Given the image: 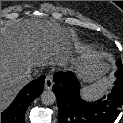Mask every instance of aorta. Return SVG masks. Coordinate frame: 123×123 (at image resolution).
Returning a JSON list of instances; mask_svg holds the SVG:
<instances>
[{
    "label": "aorta",
    "instance_id": "aorta-1",
    "mask_svg": "<svg viewBox=\"0 0 123 123\" xmlns=\"http://www.w3.org/2000/svg\"><path fill=\"white\" fill-rule=\"evenodd\" d=\"M41 101L44 105H52L56 102V96L51 90H44L41 94Z\"/></svg>",
    "mask_w": 123,
    "mask_h": 123
}]
</instances>
